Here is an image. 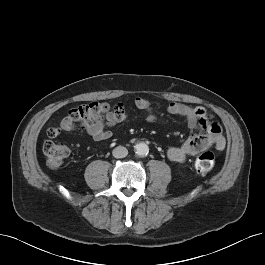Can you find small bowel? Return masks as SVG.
Returning a JSON list of instances; mask_svg holds the SVG:
<instances>
[{
    "label": "small bowel",
    "instance_id": "small-bowel-1",
    "mask_svg": "<svg viewBox=\"0 0 265 265\" xmlns=\"http://www.w3.org/2000/svg\"><path fill=\"white\" fill-rule=\"evenodd\" d=\"M135 105L137 108L148 112V121H156L157 118L152 112L150 102L147 99L137 97L135 99ZM117 107L118 111L114 116L105 118L104 120H97L87 127V133L93 140L99 142L110 139L112 133L109 128L128 119L129 116L122 105ZM168 111L173 115L183 117L188 126L193 130L192 135L182 145L172 146L167 150V157L171 162L183 163L189 156L196 155L210 146H214L217 150H223L225 148L226 141L221 131L216 134L211 132V126L217 122L207 115L205 108L172 102L168 106ZM206 130L211 132L209 137L202 136V133Z\"/></svg>",
    "mask_w": 265,
    "mask_h": 265
}]
</instances>
